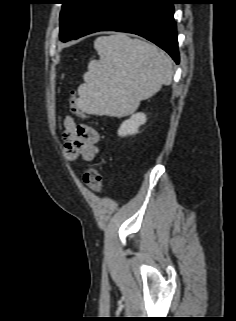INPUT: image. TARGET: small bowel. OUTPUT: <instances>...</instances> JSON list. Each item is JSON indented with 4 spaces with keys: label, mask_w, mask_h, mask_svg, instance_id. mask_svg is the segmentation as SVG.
Segmentation results:
<instances>
[{
    "label": "small bowel",
    "mask_w": 236,
    "mask_h": 321,
    "mask_svg": "<svg viewBox=\"0 0 236 321\" xmlns=\"http://www.w3.org/2000/svg\"><path fill=\"white\" fill-rule=\"evenodd\" d=\"M63 141L68 159L81 156L92 160L99 152V133L86 123H78L72 116L63 119Z\"/></svg>",
    "instance_id": "c3829d8e"
}]
</instances>
